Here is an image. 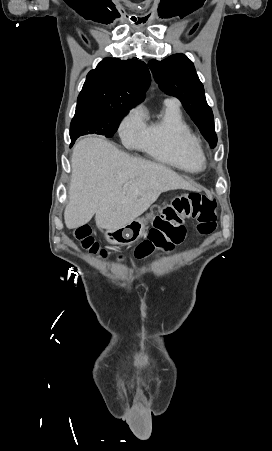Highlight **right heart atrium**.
<instances>
[{
	"label": "right heart atrium",
	"mask_w": 272,
	"mask_h": 451,
	"mask_svg": "<svg viewBox=\"0 0 272 451\" xmlns=\"http://www.w3.org/2000/svg\"><path fill=\"white\" fill-rule=\"evenodd\" d=\"M144 130V113L140 107H137L122 122L120 135L125 143L135 144L142 137Z\"/></svg>",
	"instance_id": "d8ad5b80"
}]
</instances>
